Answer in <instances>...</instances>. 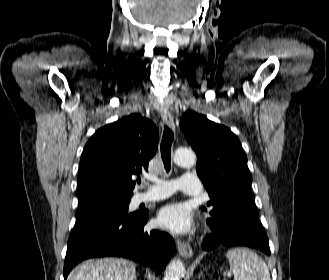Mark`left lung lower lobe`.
<instances>
[{"instance_id": "1", "label": "left lung lower lobe", "mask_w": 329, "mask_h": 280, "mask_svg": "<svg viewBox=\"0 0 329 280\" xmlns=\"http://www.w3.org/2000/svg\"><path fill=\"white\" fill-rule=\"evenodd\" d=\"M219 244L225 246H248L270 255L267 235L258 218V209L251 197L244 198L229 210L218 234L209 235L204 250H212Z\"/></svg>"}]
</instances>
